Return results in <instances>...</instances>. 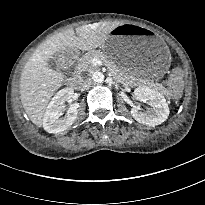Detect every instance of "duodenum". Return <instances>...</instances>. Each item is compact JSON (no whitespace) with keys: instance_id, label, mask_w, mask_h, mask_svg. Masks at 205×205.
Here are the masks:
<instances>
[{"instance_id":"duodenum-1","label":"duodenum","mask_w":205,"mask_h":205,"mask_svg":"<svg viewBox=\"0 0 205 205\" xmlns=\"http://www.w3.org/2000/svg\"><path fill=\"white\" fill-rule=\"evenodd\" d=\"M79 78L78 75L74 73L73 77L69 80V84L73 86L79 85Z\"/></svg>"}]
</instances>
